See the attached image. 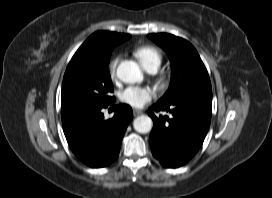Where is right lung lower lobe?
<instances>
[{
	"instance_id": "98d812e1",
	"label": "right lung lower lobe",
	"mask_w": 272,
	"mask_h": 198,
	"mask_svg": "<svg viewBox=\"0 0 272 198\" xmlns=\"http://www.w3.org/2000/svg\"><path fill=\"white\" fill-rule=\"evenodd\" d=\"M82 106L61 114L68 144L83 163L92 168L105 167L116 160L133 113L129 105L116 106L113 118L105 120L102 110L113 105Z\"/></svg>"
}]
</instances>
